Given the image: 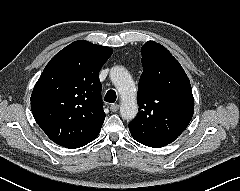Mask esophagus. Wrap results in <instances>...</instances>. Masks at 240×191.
Wrapping results in <instances>:
<instances>
[{
  "instance_id": "esophagus-1",
  "label": "esophagus",
  "mask_w": 240,
  "mask_h": 191,
  "mask_svg": "<svg viewBox=\"0 0 240 191\" xmlns=\"http://www.w3.org/2000/svg\"><path fill=\"white\" fill-rule=\"evenodd\" d=\"M110 109H111L112 112H116L119 109V105L118 104H111Z\"/></svg>"
}]
</instances>
